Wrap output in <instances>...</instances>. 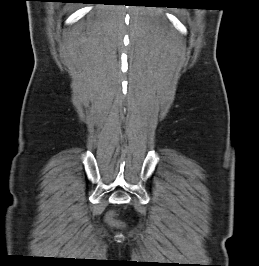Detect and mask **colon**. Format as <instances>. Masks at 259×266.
Returning a JSON list of instances; mask_svg holds the SVG:
<instances>
[{"label": "colon", "mask_w": 259, "mask_h": 266, "mask_svg": "<svg viewBox=\"0 0 259 266\" xmlns=\"http://www.w3.org/2000/svg\"><path fill=\"white\" fill-rule=\"evenodd\" d=\"M107 221L110 225L112 226H118L119 225V222L115 219V216L113 213H111L108 218H107Z\"/></svg>", "instance_id": "obj_1"}]
</instances>
